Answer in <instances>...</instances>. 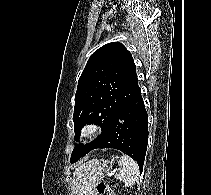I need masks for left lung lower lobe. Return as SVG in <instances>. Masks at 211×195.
<instances>
[{"label": "left lung lower lobe", "mask_w": 211, "mask_h": 195, "mask_svg": "<svg viewBox=\"0 0 211 195\" xmlns=\"http://www.w3.org/2000/svg\"><path fill=\"white\" fill-rule=\"evenodd\" d=\"M147 144L148 115L139 89L111 119L93 149H118L135 159L142 171Z\"/></svg>", "instance_id": "1"}]
</instances>
